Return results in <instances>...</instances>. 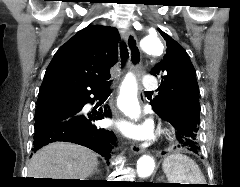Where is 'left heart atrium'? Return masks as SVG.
<instances>
[{
	"mask_svg": "<svg viewBox=\"0 0 240 187\" xmlns=\"http://www.w3.org/2000/svg\"><path fill=\"white\" fill-rule=\"evenodd\" d=\"M123 129L128 135L138 139L148 138L151 135V127L148 125L137 127L130 124H124Z\"/></svg>",
	"mask_w": 240,
	"mask_h": 187,
	"instance_id": "left-heart-atrium-1",
	"label": "left heart atrium"
}]
</instances>
